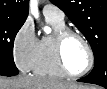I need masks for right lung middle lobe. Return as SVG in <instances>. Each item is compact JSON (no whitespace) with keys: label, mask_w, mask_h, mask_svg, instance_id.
Instances as JSON below:
<instances>
[{"label":"right lung middle lobe","mask_w":107,"mask_h":89,"mask_svg":"<svg viewBox=\"0 0 107 89\" xmlns=\"http://www.w3.org/2000/svg\"><path fill=\"white\" fill-rule=\"evenodd\" d=\"M25 21L0 18V74H18L13 60L14 39Z\"/></svg>","instance_id":"dd1d6c3e"}]
</instances>
